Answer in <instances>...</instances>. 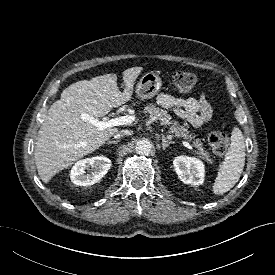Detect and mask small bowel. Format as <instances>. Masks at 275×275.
<instances>
[{
  "label": "small bowel",
  "mask_w": 275,
  "mask_h": 275,
  "mask_svg": "<svg viewBox=\"0 0 275 275\" xmlns=\"http://www.w3.org/2000/svg\"><path fill=\"white\" fill-rule=\"evenodd\" d=\"M158 105L172 109L181 119L194 127H201L212 117V109L204 93L199 98H181L166 93L157 96Z\"/></svg>",
  "instance_id": "1"
}]
</instances>
